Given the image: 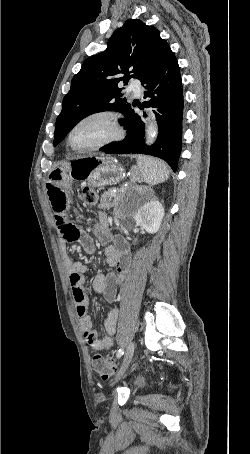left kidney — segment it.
<instances>
[{
  "instance_id": "left-kidney-1",
  "label": "left kidney",
  "mask_w": 250,
  "mask_h": 454,
  "mask_svg": "<svg viewBox=\"0 0 250 454\" xmlns=\"http://www.w3.org/2000/svg\"><path fill=\"white\" fill-rule=\"evenodd\" d=\"M164 214L162 204L153 199L138 210L135 221L148 233L153 234L159 230Z\"/></svg>"
}]
</instances>
